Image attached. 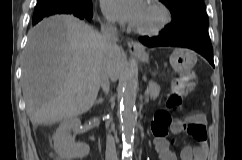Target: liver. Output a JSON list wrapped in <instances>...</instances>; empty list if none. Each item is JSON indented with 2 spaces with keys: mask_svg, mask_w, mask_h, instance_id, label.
Segmentation results:
<instances>
[{
  "mask_svg": "<svg viewBox=\"0 0 242 160\" xmlns=\"http://www.w3.org/2000/svg\"><path fill=\"white\" fill-rule=\"evenodd\" d=\"M116 49L122 51L117 80L124 72L125 54ZM108 53L102 35L73 16H53L32 28L21 78L31 123L53 124L91 109Z\"/></svg>",
  "mask_w": 242,
  "mask_h": 160,
  "instance_id": "liver-1",
  "label": "liver"
}]
</instances>
